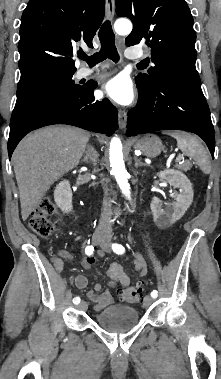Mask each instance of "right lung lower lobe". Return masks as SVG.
Returning a JSON list of instances; mask_svg holds the SVG:
<instances>
[{
	"instance_id": "1",
	"label": "right lung lower lobe",
	"mask_w": 221,
	"mask_h": 379,
	"mask_svg": "<svg viewBox=\"0 0 221 379\" xmlns=\"http://www.w3.org/2000/svg\"><path fill=\"white\" fill-rule=\"evenodd\" d=\"M94 84H85L75 93L36 105L10 124L8 154L30 131L52 124H68L110 136L118 128L117 110L109 100L94 99Z\"/></svg>"
}]
</instances>
